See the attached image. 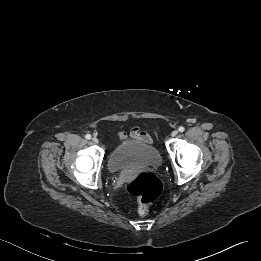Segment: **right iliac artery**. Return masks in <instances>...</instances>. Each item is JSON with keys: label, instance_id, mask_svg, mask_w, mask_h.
Returning <instances> with one entry per match:
<instances>
[{"label": "right iliac artery", "instance_id": "82829eb1", "mask_svg": "<svg viewBox=\"0 0 261 261\" xmlns=\"http://www.w3.org/2000/svg\"><path fill=\"white\" fill-rule=\"evenodd\" d=\"M85 138L89 140V139H91V135L90 134H86Z\"/></svg>", "mask_w": 261, "mask_h": 261}]
</instances>
